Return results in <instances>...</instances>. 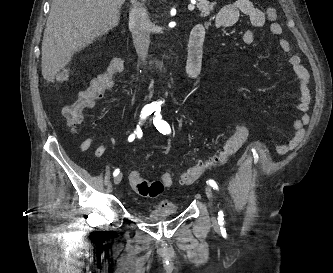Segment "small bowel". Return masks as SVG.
I'll list each match as a JSON object with an SVG mask.
<instances>
[{
	"mask_svg": "<svg viewBox=\"0 0 333 273\" xmlns=\"http://www.w3.org/2000/svg\"><path fill=\"white\" fill-rule=\"evenodd\" d=\"M240 14L245 15L250 24L253 27H262L266 22L265 11L260 10L253 6L249 0H235L229 4H226L217 13L214 26L216 28H227L235 25ZM202 25V24H201ZM202 27L205 29L204 25ZM270 32L278 37V43L280 49L289 56V63L298 77L301 100L299 104V110L303 113L300 120H297L294 124V137L281 146L284 151L293 150L300 141L303 134V124L308 120V106L310 102V92L308 88V74L306 69L302 66L300 57L292 52V48L288 40L283 38L282 28L279 23H271L269 26ZM242 40L246 45H251L255 41V36L252 31L245 30L242 34ZM243 126V125H242ZM97 143L95 148V156L97 158H103L106 152L105 145L98 140L96 136H90L86 138L80 144V150L82 152L88 151L91 146Z\"/></svg>",
	"mask_w": 333,
	"mask_h": 273,
	"instance_id": "small-bowel-1",
	"label": "small bowel"
}]
</instances>
